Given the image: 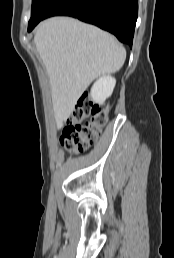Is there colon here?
Segmentation results:
<instances>
[{
	"label": "colon",
	"instance_id": "1",
	"mask_svg": "<svg viewBox=\"0 0 174 258\" xmlns=\"http://www.w3.org/2000/svg\"><path fill=\"white\" fill-rule=\"evenodd\" d=\"M108 117V104H95L87 95H82L62 129L61 145L71 153L87 150L96 142Z\"/></svg>",
	"mask_w": 174,
	"mask_h": 258
}]
</instances>
